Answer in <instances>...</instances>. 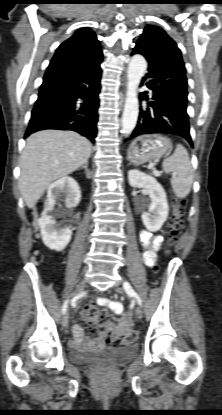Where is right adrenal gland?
Instances as JSON below:
<instances>
[{
	"label": "right adrenal gland",
	"instance_id": "1",
	"mask_svg": "<svg viewBox=\"0 0 222 415\" xmlns=\"http://www.w3.org/2000/svg\"><path fill=\"white\" fill-rule=\"evenodd\" d=\"M82 168H84V169H85V171H86V173H87V176H88V174H89L88 163H85V165H84V166H82Z\"/></svg>",
	"mask_w": 222,
	"mask_h": 415
}]
</instances>
